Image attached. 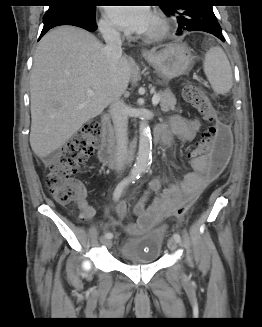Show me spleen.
Returning a JSON list of instances; mask_svg holds the SVG:
<instances>
[{"mask_svg": "<svg viewBox=\"0 0 262 327\" xmlns=\"http://www.w3.org/2000/svg\"><path fill=\"white\" fill-rule=\"evenodd\" d=\"M204 73L217 94H226L233 85L229 60L220 47L210 48L204 61Z\"/></svg>", "mask_w": 262, "mask_h": 327, "instance_id": "spleen-1", "label": "spleen"}]
</instances>
